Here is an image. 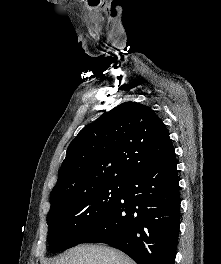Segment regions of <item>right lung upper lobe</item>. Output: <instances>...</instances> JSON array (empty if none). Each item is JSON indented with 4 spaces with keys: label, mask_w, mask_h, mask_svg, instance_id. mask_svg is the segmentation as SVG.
I'll return each instance as SVG.
<instances>
[{
    "label": "right lung upper lobe",
    "mask_w": 221,
    "mask_h": 264,
    "mask_svg": "<svg viewBox=\"0 0 221 264\" xmlns=\"http://www.w3.org/2000/svg\"><path fill=\"white\" fill-rule=\"evenodd\" d=\"M174 155L169 133L155 112L139 103H122L70 143L50 194V210L72 194L124 182Z\"/></svg>",
    "instance_id": "right-lung-upper-lobe-1"
}]
</instances>
